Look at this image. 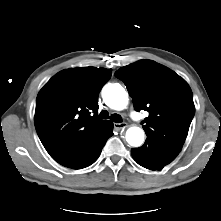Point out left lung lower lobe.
I'll return each instance as SVG.
<instances>
[{
    "instance_id": "0a47b994",
    "label": "left lung lower lobe",
    "mask_w": 221,
    "mask_h": 221,
    "mask_svg": "<svg viewBox=\"0 0 221 221\" xmlns=\"http://www.w3.org/2000/svg\"><path fill=\"white\" fill-rule=\"evenodd\" d=\"M131 153L139 165L150 170H161L178 155L177 152L149 140L142 147L132 149Z\"/></svg>"
}]
</instances>
